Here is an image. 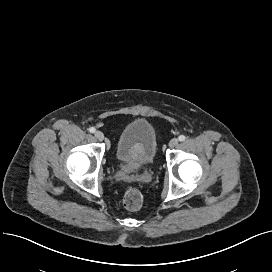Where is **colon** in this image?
<instances>
[{
  "instance_id": "obj_1",
  "label": "colon",
  "mask_w": 272,
  "mask_h": 272,
  "mask_svg": "<svg viewBox=\"0 0 272 272\" xmlns=\"http://www.w3.org/2000/svg\"><path fill=\"white\" fill-rule=\"evenodd\" d=\"M123 203L128 210L136 211L142 206L143 195L137 188H130L124 195Z\"/></svg>"
}]
</instances>
